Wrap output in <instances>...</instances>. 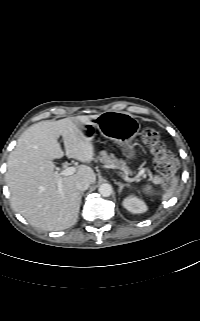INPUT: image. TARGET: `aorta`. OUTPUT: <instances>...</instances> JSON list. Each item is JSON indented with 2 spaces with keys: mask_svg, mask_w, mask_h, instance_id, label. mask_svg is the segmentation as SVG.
<instances>
[{
  "mask_svg": "<svg viewBox=\"0 0 200 321\" xmlns=\"http://www.w3.org/2000/svg\"><path fill=\"white\" fill-rule=\"evenodd\" d=\"M98 191L103 197H109L112 194V186L108 183H103L99 186Z\"/></svg>",
  "mask_w": 200,
  "mask_h": 321,
  "instance_id": "aorta-1",
  "label": "aorta"
}]
</instances>
